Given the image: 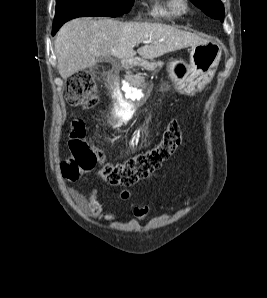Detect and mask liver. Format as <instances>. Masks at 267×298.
<instances>
[{"label": "liver", "instance_id": "obj_1", "mask_svg": "<svg viewBox=\"0 0 267 298\" xmlns=\"http://www.w3.org/2000/svg\"><path fill=\"white\" fill-rule=\"evenodd\" d=\"M145 40H151V43L137 50L144 59L207 42L196 34L161 23L77 18L65 23L56 36L54 46L59 74L67 79L94 66L99 57L133 59L136 55L134 47Z\"/></svg>", "mask_w": 267, "mask_h": 298}]
</instances>
